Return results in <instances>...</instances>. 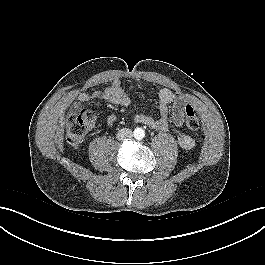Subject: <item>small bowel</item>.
Instances as JSON below:
<instances>
[{
    "mask_svg": "<svg viewBox=\"0 0 265 265\" xmlns=\"http://www.w3.org/2000/svg\"><path fill=\"white\" fill-rule=\"evenodd\" d=\"M75 98L86 103L91 100L101 99L114 105L127 107L131 100L125 92L120 80H114L112 84L100 91L82 92L75 95ZM158 104L160 108V117L155 118L151 115L137 113L134 120L137 123L149 126L155 130L166 131L172 122L175 126H182L185 119V107L189 105V100L182 93L173 92L168 88H161L158 92ZM114 119H109L108 124L112 125ZM180 146L184 149H191L194 145L193 138L187 133L180 132L177 135Z\"/></svg>",
    "mask_w": 265,
    "mask_h": 265,
    "instance_id": "c3829d8e",
    "label": "small bowel"
}]
</instances>
